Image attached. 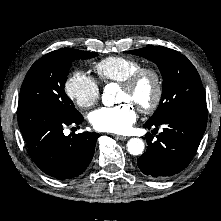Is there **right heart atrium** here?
Here are the masks:
<instances>
[{
    "label": "right heart atrium",
    "instance_id": "d8ad5b80",
    "mask_svg": "<svg viewBox=\"0 0 221 221\" xmlns=\"http://www.w3.org/2000/svg\"><path fill=\"white\" fill-rule=\"evenodd\" d=\"M64 90L67 96L82 108L94 106L100 98V86L89 74L73 71L66 79Z\"/></svg>",
    "mask_w": 221,
    "mask_h": 221
}]
</instances>
